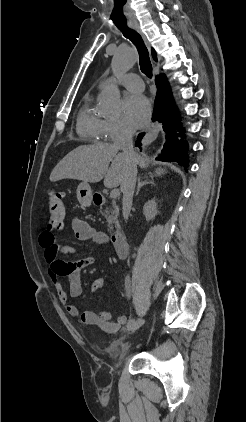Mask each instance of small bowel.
Listing matches in <instances>:
<instances>
[{
  "instance_id": "c3829d8e",
  "label": "small bowel",
  "mask_w": 246,
  "mask_h": 422,
  "mask_svg": "<svg viewBox=\"0 0 246 422\" xmlns=\"http://www.w3.org/2000/svg\"><path fill=\"white\" fill-rule=\"evenodd\" d=\"M75 236L80 241H93L99 244L107 242L106 235L91 227L87 222L75 218L72 222ZM39 245L44 250V259L48 266V274L52 284L57 292L60 302L65 306L67 312L72 316H78L82 324L87 326H97L109 333H115L121 326L126 324L127 317L119 315L117 320L112 321V315L108 311H100L98 313L92 311H84L81 314L77 306L69 301V298L79 297L83 292L82 270L95 264V258L85 257L74 262H67L59 258L60 254H74L75 249L67 244H59L56 242L53 228L49 225L39 234ZM69 276L71 284L69 291L63 288L60 278ZM112 284H115L113 277L109 278ZM106 286L105 280L102 278L94 280L90 289L98 291Z\"/></svg>"
}]
</instances>
